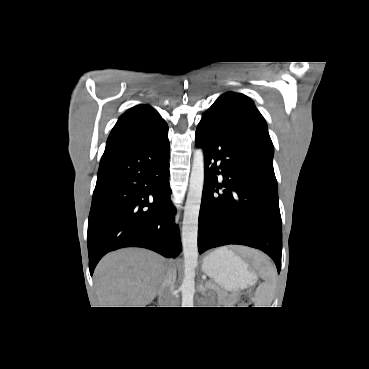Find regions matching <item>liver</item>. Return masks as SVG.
Listing matches in <instances>:
<instances>
[{"mask_svg": "<svg viewBox=\"0 0 369 369\" xmlns=\"http://www.w3.org/2000/svg\"><path fill=\"white\" fill-rule=\"evenodd\" d=\"M242 251L249 256L254 252ZM169 267L168 260L149 250L125 248L107 254L94 271L101 305L146 307L156 297Z\"/></svg>", "mask_w": 369, "mask_h": 369, "instance_id": "1", "label": "liver"}]
</instances>
